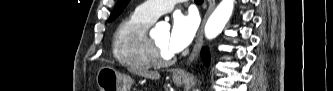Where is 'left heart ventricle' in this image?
<instances>
[{"mask_svg": "<svg viewBox=\"0 0 333 91\" xmlns=\"http://www.w3.org/2000/svg\"><path fill=\"white\" fill-rule=\"evenodd\" d=\"M168 36H169V31L168 30L158 31L152 36L153 41L156 43V45L159 47V49L165 55H171L172 54L169 51L168 46H167Z\"/></svg>", "mask_w": 333, "mask_h": 91, "instance_id": "obj_1", "label": "left heart ventricle"}]
</instances>
